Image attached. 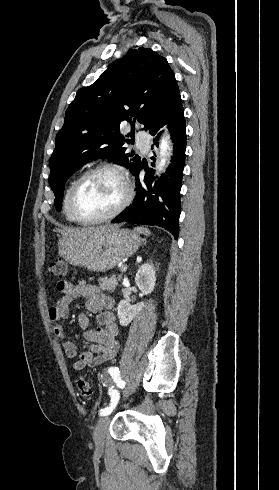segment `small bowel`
<instances>
[{"label": "small bowel", "mask_w": 279, "mask_h": 490, "mask_svg": "<svg viewBox=\"0 0 279 490\" xmlns=\"http://www.w3.org/2000/svg\"><path fill=\"white\" fill-rule=\"evenodd\" d=\"M57 287L62 292V296L49 308L48 316L53 324L54 334L62 340L66 356L73 360V369L79 371L87 366H95L113 359L119 349V326L112 312L114 299L103 293L97 286L85 281L72 284L67 280H60ZM79 298L84 300L88 313L96 316L98 324L97 327L91 328L90 315L79 314V326L89 342L81 353H78L75 344L67 338L60 324L62 320L69 317L71 302Z\"/></svg>", "instance_id": "c3829d8e"}]
</instances>
